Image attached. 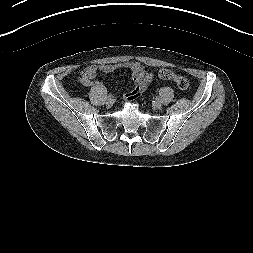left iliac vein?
I'll use <instances>...</instances> for the list:
<instances>
[{"instance_id": "obj_1", "label": "left iliac vein", "mask_w": 253, "mask_h": 253, "mask_svg": "<svg viewBox=\"0 0 253 253\" xmlns=\"http://www.w3.org/2000/svg\"><path fill=\"white\" fill-rule=\"evenodd\" d=\"M153 107L155 108V109H160L161 108V104L160 103H153Z\"/></svg>"}]
</instances>
